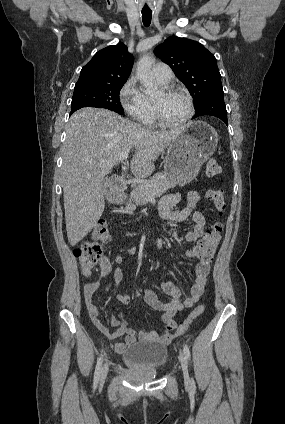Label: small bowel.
Masks as SVG:
<instances>
[{
  "mask_svg": "<svg viewBox=\"0 0 285 424\" xmlns=\"http://www.w3.org/2000/svg\"><path fill=\"white\" fill-rule=\"evenodd\" d=\"M200 200L201 194L197 191H192L187 195L186 205L180 210L173 209L180 202V196L178 194L165 195L159 205V210L162 216L172 223H180L188 218H191L193 224L192 228L185 234L186 241L191 243H195L201 240L205 237L206 234L205 218L201 212L196 210V206ZM162 244L163 240L158 238L156 240V247L160 248ZM135 252V247L129 246L120 249L119 254L115 258L117 266L114 270V282L107 286L106 290H114L119 286L123 278V273L120 267L123 262V257L131 256L135 254ZM187 254L189 256L197 257L195 255V248L189 250ZM197 258L199 260L195 268V279L188 294L183 295L177 285L171 281L165 280L163 277L161 282V289L168 297V301L166 303L160 301L152 290H145V302L151 308L163 312L161 321L163 322L165 328L162 333L147 330H141L140 332H137L135 329L130 328L127 325L120 313L116 315H109L110 324L115 327L116 330L114 332H110L108 330L105 324L100 320V311L104 309V307H99L94 302V296L99 290L101 279L110 270V265L108 262L104 261L101 264L100 278L88 282L84 285V301L91 321L108 340H114L123 337L122 341H117L113 344V349L116 353L122 354L128 345L135 343L138 339L143 341H157L164 344H169L176 336L182 334L181 332H178V325L174 320V316L182 309L191 307L201 298L210 272V260L202 259L199 257ZM117 299L122 304H128L130 302V297L125 294H118Z\"/></svg>",
  "mask_w": 285,
  "mask_h": 424,
  "instance_id": "c3829d8e",
  "label": "small bowel"
}]
</instances>
